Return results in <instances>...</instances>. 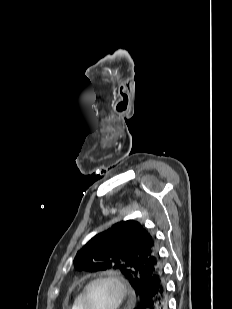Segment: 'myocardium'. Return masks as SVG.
Returning <instances> with one entry per match:
<instances>
[{"mask_svg": "<svg viewBox=\"0 0 232 309\" xmlns=\"http://www.w3.org/2000/svg\"><path fill=\"white\" fill-rule=\"evenodd\" d=\"M98 282L110 283L115 287L117 291V302L115 306L113 307V309H122L125 301L128 298L129 291L123 279L119 275L112 274V273H104V274L97 275L87 282V284L84 286L83 291L81 293L82 309H88V304H87L88 291L93 284L98 283Z\"/></svg>", "mask_w": 232, "mask_h": 309, "instance_id": "myocardium-1", "label": "myocardium"}]
</instances>
